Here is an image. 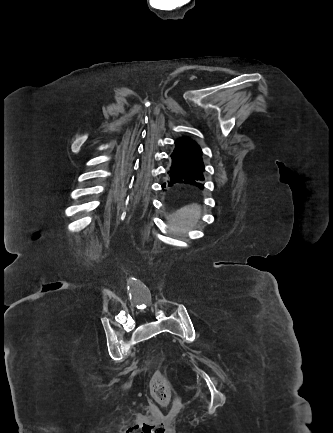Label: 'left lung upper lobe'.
<instances>
[{
	"instance_id": "left-lung-upper-lobe-1",
	"label": "left lung upper lobe",
	"mask_w": 333,
	"mask_h": 433,
	"mask_svg": "<svg viewBox=\"0 0 333 433\" xmlns=\"http://www.w3.org/2000/svg\"><path fill=\"white\" fill-rule=\"evenodd\" d=\"M180 139L182 141H184V142L192 145L193 147H195L196 149H198L200 152H202L200 146L195 141H193L192 139H190L189 137H183V138H180Z\"/></svg>"
}]
</instances>
